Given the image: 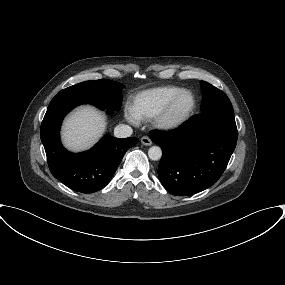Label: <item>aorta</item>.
<instances>
[{"label":"aorta","instance_id":"762f6f07","mask_svg":"<svg viewBox=\"0 0 285 285\" xmlns=\"http://www.w3.org/2000/svg\"><path fill=\"white\" fill-rule=\"evenodd\" d=\"M148 156L151 160L157 161L161 158L162 156V150L158 146H152L148 150Z\"/></svg>","mask_w":285,"mask_h":285}]
</instances>
